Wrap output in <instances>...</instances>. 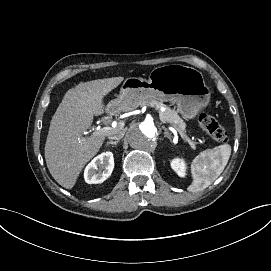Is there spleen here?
I'll list each match as a JSON object with an SVG mask.
<instances>
[{"label":"spleen","instance_id":"obj_1","mask_svg":"<svg viewBox=\"0 0 271 271\" xmlns=\"http://www.w3.org/2000/svg\"><path fill=\"white\" fill-rule=\"evenodd\" d=\"M231 156V145L224 143L211 152L196 156L190 166L193 181L187 188L189 192H198L207 188L223 172Z\"/></svg>","mask_w":271,"mask_h":271}]
</instances>
